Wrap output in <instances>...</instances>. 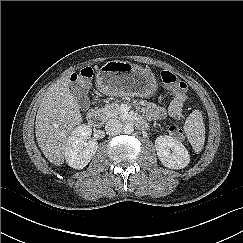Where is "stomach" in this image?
I'll return each mask as SVG.
<instances>
[{
    "label": "stomach",
    "mask_w": 243,
    "mask_h": 243,
    "mask_svg": "<svg viewBox=\"0 0 243 243\" xmlns=\"http://www.w3.org/2000/svg\"><path fill=\"white\" fill-rule=\"evenodd\" d=\"M96 84L106 95L149 97L157 90L150 69L127 61H108L97 72Z\"/></svg>",
    "instance_id": "stomach-1"
}]
</instances>
